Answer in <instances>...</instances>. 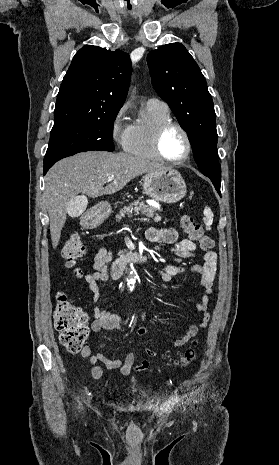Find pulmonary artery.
<instances>
[{
    "label": "pulmonary artery",
    "mask_w": 279,
    "mask_h": 465,
    "mask_svg": "<svg viewBox=\"0 0 279 465\" xmlns=\"http://www.w3.org/2000/svg\"><path fill=\"white\" fill-rule=\"evenodd\" d=\"M147 103H148V104H161V105L167 106L165 102H163V101H161V100H159V99H157V98H150V99L147 101Z\"/></svg>",
    "instance_id": "pulmonary-artery-1"
}]
</instances>
